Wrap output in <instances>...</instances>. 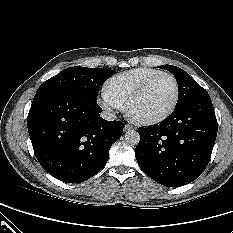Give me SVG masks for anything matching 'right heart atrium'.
<instances>
[{"instance_id": "obj_1", "label": "right heart atrium", "mask_w": 233, "mask_h": 233, "mask_svg": "<svg viewBox=\"0 0 233 233\" xmlns=\"http://www.w3.org/2000/svg\"><path fill=\"white\" fill-rule=\"evenodd\" d=\"M100 104L104 109L107 111H112V110H123L124 104L118 101L104 86L101 89V94H100Z\"/></svg>"}]
</instances>
